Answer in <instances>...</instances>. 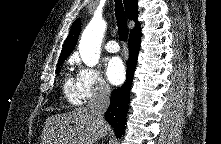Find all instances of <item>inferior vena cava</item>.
Segmentation results:
<instances>
[{
    "label": "inferior vena cava",
    "mask_w": 221,
    "mask_h": 144,
    "mask_svg": "<svg viewBox=\"0 0 221 144\" xmlns=\"http://www.w3.org/2000/svg\"><path fill=\"white\" fill-rule=\"evenodd\" d=\"M111 88L102 83L97 87L96 93L89 100L87 108L99 123H104V113L110 103ZM105 135L103 134L102 137Z\"/></svg>",
    "instance_id": "1"
}]
</instances>
